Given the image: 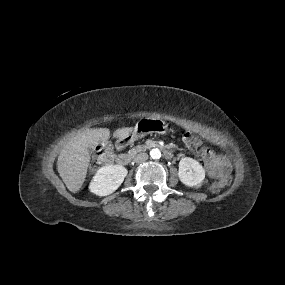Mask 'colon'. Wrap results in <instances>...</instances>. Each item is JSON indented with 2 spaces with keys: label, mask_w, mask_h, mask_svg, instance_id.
<instances>
[{
  "label": "colon",
  "mask_w": 285,
  "mask_h": 285,
  "mask_svg": "<svg viewBox=\"0 0 285 285\" xmlns=\"http://www.w3.org/2000/svg\"><path fill=\"white\" fill-rule=\"evenodd\" d=\"M183 142L190 149H199L202 146V141L199 138L193 137L191 134H186L183 137ZM111 160V152L108 149L100 150L96 153L93 159V166H101L109 163ZM230 183V175L224 173L220 175L212 185V191L218 192Z\"/></svg>",
  "instance_id": "1"
}]
</instances>
